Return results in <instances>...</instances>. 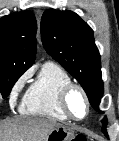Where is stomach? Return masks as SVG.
Returning <instances> with one entry per match:
<instances>
[{
  "label": "stomach",
  "instance_id": "stomach-1",
  "mask_svg": "<svg viewBox=\"0 0 119 141\" xmlns=\"http://www.w3.org/2000/svg\"><path fill=\"white\" fill-rule=\"evenodd\" d=\"M75 139L74 132L65 126H60L51 131L44 141H72Z\"/></svg>",
  "mask_w": 119,
  "mask_h": 141
}]
</instances>
